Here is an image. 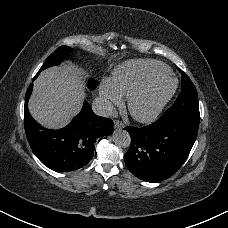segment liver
I'll use <instances>...</instances> for the list:
<instances>
[{
	"mask_svg": "<svg viewBox=\"0 0 228 228\" xmlns=\"http://www.w3.org/2000/svg\"><path fill=\"white\" fill-rule=\"evenodd\" d=\"M97 54L103 55L101 47ZM84 99L81 71L75 65L54 66L42 71L34 82L28 109L40 125L59 129L81 111Z\"/></svg>",
	"mask_w": 228,
	"mask_h": 228,
	"instance_id": "obj_1",
	"label": "liver"
}]
</instances>
